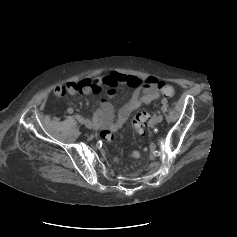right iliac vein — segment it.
Listing matches in <instances>:
<instances>
[{
    "label": "right iliac vein",
    "instance_id": "63e3f726",
    "mask_svg": "<svg viewBox=\"0 0 237 237\" xmlns=\"http://www.w3.org/2000/svg\"><path fill=\"white\" fill-rule=\"evenodd\" d=\"M84 124H85V126H86L88 129H91V128L93 127V124H92V122H91L89 119H86V120L84 121Z\"/></svg>",
    "mask_w": 237,
    "mask_h": 237
}]
</instances>
